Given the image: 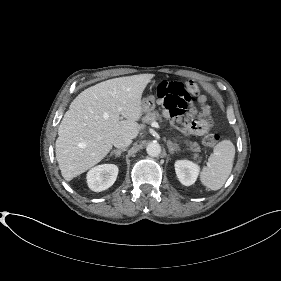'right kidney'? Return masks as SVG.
Here are the masks:
<instances>
[{
    "instance_id": "1",
    "label": "right kidney",
    "mask_w": 281,
    "mask_h": 281,
    "mask_svg": "<svg viewBox=\"0 0 281 281\" xmlns=\"http://www.w3.org/2000/svg\"><path fill=\"white\" fill-rule=\"evenodd\" d=\"M118 167L114 164H102L90 169L87 173L88 187L100 192L111 187L116 181Z\"/></svg>"
}]
</instances>
